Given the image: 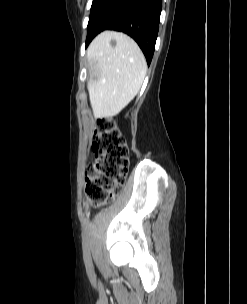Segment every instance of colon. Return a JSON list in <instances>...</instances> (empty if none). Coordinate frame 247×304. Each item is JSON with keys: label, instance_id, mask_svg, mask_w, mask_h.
<instances>
[{"label": "colon", "instance_id": "obj_1", "mask_svg": "<svg viewBox=\"0 0 247 304\" xmlns=\"http://www.w3.org/2000/svg\"><path fill=\"white\" fill-rule=\"evenodd\" d=\"M95 162L88 167L85 192L93 206L111 203L125 183L129 150L122 133L108 117L97 120L92 143Z\"/></svg>", "mask_w": 247, "mask_h": 304}]
</instances>
